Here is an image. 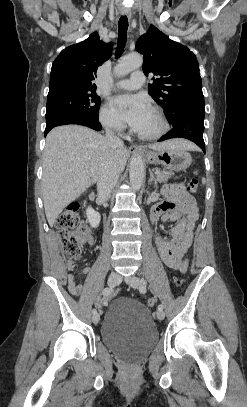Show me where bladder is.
I'll use <instances>...</instances> for the list:
<instances>
[{
  "label": "bladder",
  "instance_id": "31cf9c89",
  "mask_svg": "<svg viewBox=\"0 0 247 407\" xmlns=\"http://www.w3.org/2000/svg\"><path fill=\"white\" fill-rule=\"evenodd\" d=\"M158 338L150 311L140 302L122 298L107 307L101 340L118 357L138 362L152 351Z\"/></svg>",
  "mask_w": 247,
  "mask_h": 407
}]
</instances>
